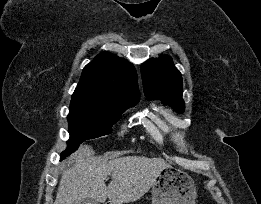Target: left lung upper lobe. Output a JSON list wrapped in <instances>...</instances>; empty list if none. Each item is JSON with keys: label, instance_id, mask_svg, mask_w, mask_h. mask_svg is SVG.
Segmentation results:
<instances>
[{"label": "left lung upper lobe", "instance_id": "obj_1", "mask_svg": "<svg viewBox=\"0 0 261 204\" xmlns=\"http://www.w3.org/2000/svg\"><path fill=\"white\" fill-rule=\"evenodd\" d=\"M141 74L147 99H159L177 112L184 111L181 73L170 57L149 59L142 64Z\"/></svg>", "mask_w": 261, "mask_h": 204}]
</instances>
